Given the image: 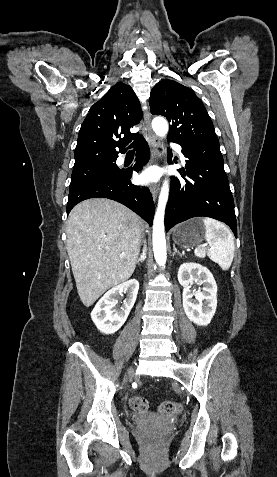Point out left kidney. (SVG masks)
Returning <instances> with one entry per match:
<instances>
[{
	"label": "left kidney",
	"mask_w": 277,
	"mask_h": 477,
	"mask_svg": "<svg viewBox=\"0 0 277 477\" xmlns=\"http://www.w3.org/2000/svg\"><path fill=\"white\" fill-rule=\"evenodd\" d=\"M178 281L183 286V309L190 321L207 326L216 312L217 284L212 273L197 263H184L178 270ZM203 284L201 292L193 294L190 290L193 282Z\"/></svg>",
	"instance_id": "left-kidney-1"
}]
</instances>
